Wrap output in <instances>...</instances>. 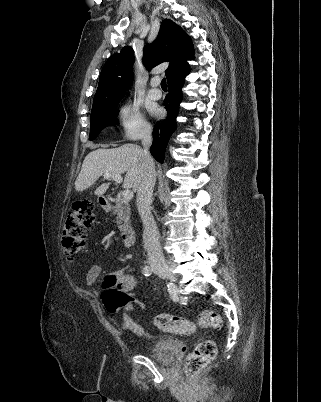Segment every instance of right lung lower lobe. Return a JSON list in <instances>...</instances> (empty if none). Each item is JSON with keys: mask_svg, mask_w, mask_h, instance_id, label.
<instances>
[{"mask_svg": "<svg viewBox=\"0 0 321 402\" xmlns=\"http://www.w3.org/2000/svg\"><path fill=\"white\" fill-rule=\"evenodd\" d=\"M189 70L180 73L168 81L169 93L164 100V106L167 110V117L162 122H157L153 130V144L150 152L153 157L163 162L167 142L171 134L176 129V116L179 109V104L182 100L181 88L184 84L185 77Z\"/></svg>", "mask_w": 321, "mask_h": 402, "instance_id": "1", "label": "right lung lower lobe"}]
</instances>
